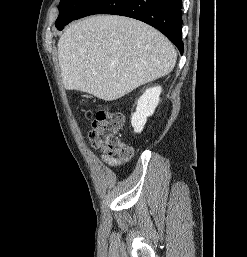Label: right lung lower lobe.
Here are the masks:
<instances>
[{
    "instance_id": "right-lung-lower-lobe-1",
    "label": "right lung lower lobe",
    "mask_w": 247,
    "mask_h": 257,
    "mask_svg": "<svg viewBox=\"0 0 247 257\" xmlns=\"http://www.w3.org/2000/svg\"><path fill=\"white\" fill-rule=\"evenodd\" d=\"M181 8L182 0H92L74 19L93 14L131 17L157 28L183 54Z\"/></svg>"
}]
</instances>
